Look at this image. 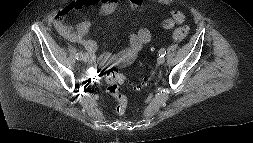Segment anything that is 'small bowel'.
Segmentation results:
<instances>
[{
	"label": "small bowel",
	"instance_id": "obj_1",
	"mask_svg": "<svg viewBox=\"0 0 253 143\" xmlns=\"http://www.w3.org/2000/svg\"><path fill=\"white\" fill-rule=\"evenodd\" d=\"M145 0H129L130 6L139 11L143 8ZM163 6H168L167 0H158ZM118 0H75L68 3L62 8L53 18V25L59 35L72 43L82 44L86 50L94 54L98 45L95 41L87 38V35L91 29V22L89 20H83L77 24L75 28H72L65 24L64 20L67 15L74 11H78L90 6H98L101 14H106L114 11L117 7ZM185 21V16L182 11L178 9H172L170 16L163 20L162 27L165 30L172 29L176 25H181ZM151 32L147 28H141L136 33L129 37V47L117 55L109 53L104 54L102 57H112L117 61L136 55L142 46L148 43L151 39ZM101 57V58H102Z\"/></svg>",
	"mask_w": 253,
	"mask_h": 143
}]
</instances>
